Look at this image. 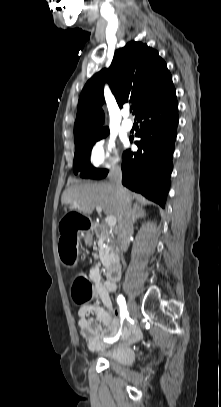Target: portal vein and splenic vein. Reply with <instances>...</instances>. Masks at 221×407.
I'll list each match as a JSON object with an SVG mask.
<instances>
[{
	"label": "portal vein and splenic vein",
	"mask_w": 221,
	"mask_h": 407,
	"mask_svg": "<svg viewBox=\"0 0 221 407\" xmlns=\"http://www.w3.org/2000/svg\"><path fill=\"white\" fill-rule=\"evenodd\" d=\"M96 211H97L98 213H101V212H102V208H101L100 206H96ZM105 222H106V224H107L109 227H114V226H116L117 220H116V218H115L114 216H107V217L105 218Z\"/></svg>",
	"instance_id": "portal-vein-and-splenic-vein-1"
}]
</instances>
